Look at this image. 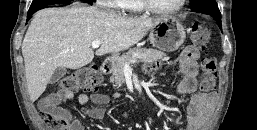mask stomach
<instances>
[{
	"mask_svg": "<svg viewBox=\"0 0 257 130\" xmlns=\"http://www.w3.org/2000/svg\"><path fill=\"white\" fill-rule=\"evenodd\" d=\"M186 37L182 23L175 17L160 18L151 28L149 39L153 46L165 52L177 50Z\"/></svg>",
	"mask_w": 257,
	"mask_h": 130,
	"instance_id": "obj_1",
	"label": "stomach"
}]
</instances>
